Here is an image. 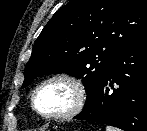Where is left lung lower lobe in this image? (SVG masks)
Masks as SVG:
<instances>
[{"label": "left lung lower lobe", "instance_id": "0a47b994", "mask_svg": "<svg viewBox=\"0 0 147 131\" xmlns=\"http://www.w3.org/2000/svg\"><path fill=\"white\" fill-rule=\"evenodd\" d=\"M74 119L147 131V35L116 57L96 95Z\"/></svg>", "mask_w": 147, "mask_h": 131}]
</instances>
